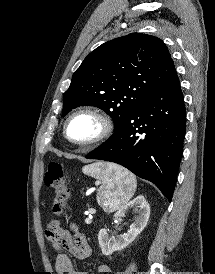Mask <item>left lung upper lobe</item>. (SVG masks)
<instances>
[{
    "mask_svg": "<svg viewBox=\"0 0 215 274\" xmlns=\"http://www.w3.org/2000/svg\"><path fill=\"white\" fill-rule=\"evenodd\" d=\"M176 73L159 38L132 33L113 39L92 51L73 74L63 94V116L79 106H95L112 117L115 131Z\"/></svg>",
    "mask_w": 215,
    "mask_h": 274,
    "instance_id": "obj_1",
    "label": "left lung upper lobe"
}]
</instances>
